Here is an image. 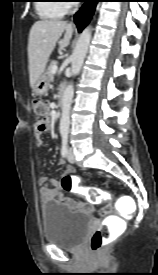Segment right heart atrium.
<instances>
[{
	"mask_svg": "<svg viewBox=\"0 0 158 275\" xmlns=\"http://www.w3.org/2000/svg\"><path fill=\"white\" fill-rule=\"evenodd\" d=\"M63 2H65L64 5L67 7V10H68L71 2H73V1L72 0H64Z\"/></svg>",
	"mask_w": 158,
	"mask_h": 275,
	"instance_id": "1",
	"label": "right heart atrium"
}]
</instances>
